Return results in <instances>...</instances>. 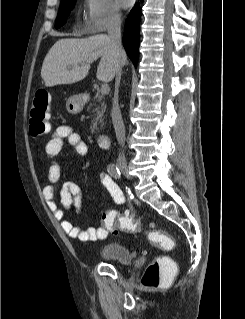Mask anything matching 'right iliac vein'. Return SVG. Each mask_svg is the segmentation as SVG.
<instances>
[{"label":"right iliac vein","instance_id":"1","mask_svg":"<svg viewBox=\"0 0 245 319\" xmlns=\"http://www.w3.org/2000/svg\"><path fill=\"white\" fill-rule=\"evenodd\" d=\"M118 168L121 170V172H122L128 179L131 178V176H130L129 173H128V168H127L126 163H124V162H119V163H118Z\"/></svg>","mask_w":245,"mask_h":319}]
</instances>
